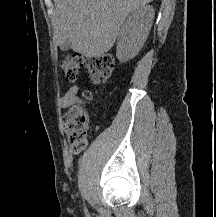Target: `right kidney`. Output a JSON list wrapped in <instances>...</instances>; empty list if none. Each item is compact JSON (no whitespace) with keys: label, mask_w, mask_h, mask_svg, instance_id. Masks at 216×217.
Segmentation results:
<instances>
[{"label":"right kidney","mask_w":216,"mask_h":217,"mask_svg":"<svg viewBox=\"0 0 216 217\" xmlns=\"http://www.w3.org/2000/svg\"><path fill=\"white\" fill-rule=\"evenodd\" d=\"M155 11L152 6H142L128 17L123 24L117 42V58L121 62L135 57L143 47L153 23Z\"/></svg>","instance_id":"right-kidney-1"}]
</instances>
